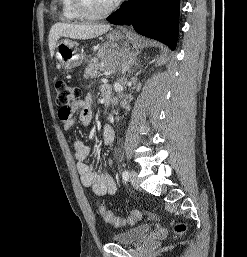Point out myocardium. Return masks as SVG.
<instances>
[{
    "instance_id": "f54148a6",
    "label": "myocardium",
    "mask_w": 247,
    "mask_h": 257,
    "mask_svg": "<svg viewBox=\"0 0 247 257\" xmlns=\"http://www.w3.org/2000/svg\"><path fill=\"white\" fill-rule=\"evenodd\" d=\"M73 1H74L75 10L77 11V13L80 15L82 19L97 20V19L106 17L109 14H111L113 11H115L122 0H115L107 8L97 12L92 11L88 7L86 0H73Z\"/></svg>"
}]
</instances>
